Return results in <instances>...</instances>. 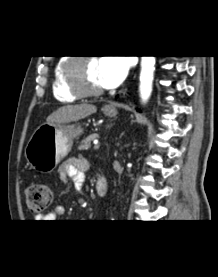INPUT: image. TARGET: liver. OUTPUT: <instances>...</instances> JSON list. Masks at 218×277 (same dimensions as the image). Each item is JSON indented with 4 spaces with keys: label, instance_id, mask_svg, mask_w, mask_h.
Masks as SVG:
<instances>
[{
    "label": "liver",
    "instance_id": "1",
    "mask_svg": "<svg viewBox=\"0 0 218 277\" xmlns=\"http://www.w3.org/2000/svg\"><path fill=\"white\" fill-rule=\"evenodd\" d=\"M97 111L96 106L88 103L60 107L47 118L48 123H69L84 119Z\"/></svg>",
    "mask_w": 218,
    "mask_h": 277
}]
</instances>
